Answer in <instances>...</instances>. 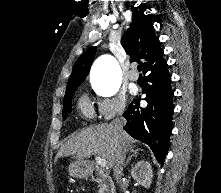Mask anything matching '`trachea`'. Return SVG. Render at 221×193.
Wrapping results in <instances>:
<instances>
[{"label":"trachea","instance_id":"obj_1","mask_svg":"<svg viewBox=\"0 0 221 193\" xmlns=\"http://www.w3.org/2000/svg\"><path fill=\"white\" fill-rule=\"evenodd\" d=\"M137 70H138V71H141V70H142L141 65H138V66H137Z\"/></svg>","mask_w":221,"mask_h":193}]
</instances>
